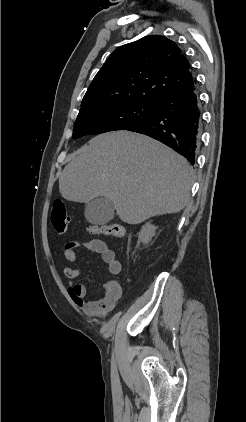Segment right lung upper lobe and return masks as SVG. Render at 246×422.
<instances>
[{
	"instance_id": "right-lung-upper-lobe-1",
	"label": "right lung upper lobe",
	"mask_w": 246,
	"mask_h": 422,
	"mask_svg": "<svg viewBox=\"0 0 246 422\" xmlns=\"http://www.w3.org/2000/svg\"><path fill=\"white\" fill-rule=\"evenodd\" d=\"M195 84L190 63L174 41L146 36L110 55L88 87L81 107L119 98L156 103Z\"/></svg>"
}]
</instances>
